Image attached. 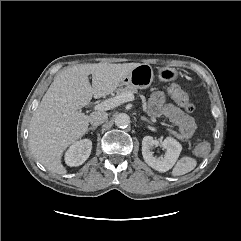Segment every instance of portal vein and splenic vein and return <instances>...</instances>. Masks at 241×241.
Instances as JSON below:
<instances>
[{"instance_id": "obj_1", "label": "portal vein and splenic vein", "mask_w": 241, "mask_h": 241, "mask_svg": "<svg viewBox=\"0 0 241 241\" xmlns=\"http://www.w3.org/2000/svg\"><path fill=\"white\" fill-rule=\"evenodd\" d=\"M134 100V94L131 92H125L121 93L119 95H116L113 98L107 99L101 103H98L93 107L94 110L98 111H107L110 109H113L125 102L133 101Z\"/></svg>"}]
</instances>
